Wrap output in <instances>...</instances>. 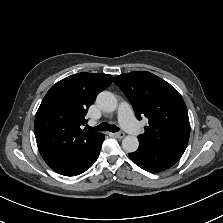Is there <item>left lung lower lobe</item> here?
<instances>
[{
  "label": "left lung lower lobe",
  "mask_w": 223,
  "mask_h": 223,
  "mask_svg": "<svg viewBox=\"0 0 223 223\" xmlns=\"http://www.w3.org/2000/svg\"><path fill=\"white\" fill-rule=\"evenodd\" d=\"M130 158L142 169L149 172H159L173 166L179 159L138 148L129 153Z\"/></svg>",
  "instance_id": "1"
}]
</instances>
